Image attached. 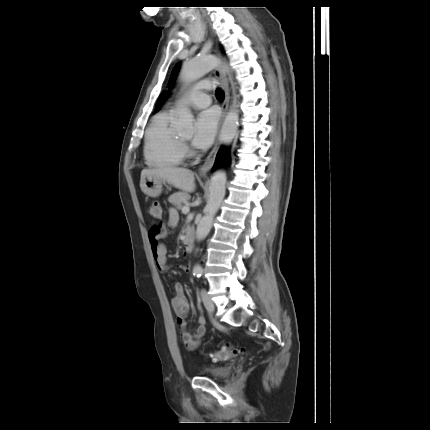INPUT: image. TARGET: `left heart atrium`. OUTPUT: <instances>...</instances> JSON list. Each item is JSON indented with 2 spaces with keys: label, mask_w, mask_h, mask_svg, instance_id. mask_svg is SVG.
I'll return each mask as SVG.
<instances>
[{
  "label": "left heart atrium",
  "mask_w": 430,
  "mask_h": 430,
  "mask_svg": "<svg viewBox=\"0 0 430 430\" xmlns=\"http://www.w3.org/2000/svg\"><path fill=\"white\" fill-rule=\"evenodd\" d=\"M218 121L219 115L215 109H208L199 114L192 139L195 147L204 149L212 144L217 131Z\"/></svg>",
  "instance_id": "39dd6f15"
}]
</instances>
